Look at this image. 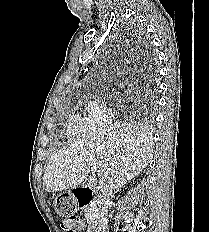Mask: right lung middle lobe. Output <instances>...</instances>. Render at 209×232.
I'll list each match as a JSON object with an SVG mask.
<instances>
[{
    "mask_svg": "<svg viewBox=\"0 0 209 232\" xmlns=\"http://www.w3.org/2000/svg\"><path fill=\"white\" fill-rule=\"evenodd\" d=\"M154 90H153V88H152V92H153ZM152 102H153V100H152ZM152 105H153V103H152ZM151 106H150V109L148 110V113H147V120H148V123H149V125H151L152 124V121H153V112H152V110H151Z\"/></svg>",
    "mask_w": 209,
    "mask_h": 232,
    "instance_id": "right-lung-middle-lobe-1",
    "label": "right lung middle lobe"
}]
</instances>
